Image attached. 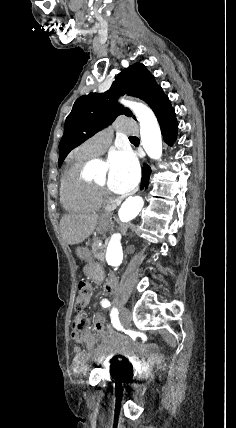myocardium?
Segmentation results:
<instances>
[{
    "mask_svg": "<svg viewBox=\"0 0 236 428\" xmlns=\"http://www.w3.org/2000/svg\"><path fill=\"white\" fill-rule=\"evenodd\" d=\"M94 183L99 190L103 202H111L115 199L114 194L105 184L99 183L97 181H95Z\"/></svg>",
    "mask_w": 236,
    "mask_h": 428,
    "instance_id": "1",
    "label": "myocardium"
}]
</instances>
